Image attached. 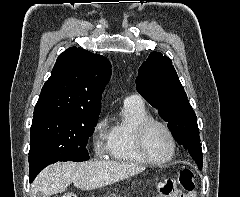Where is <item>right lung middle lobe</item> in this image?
Listing matches in <instances>:
<instances>
[{"mask_svg": "<svg viewBox=\"0 0 240 197\" xmlns=\"http://www.w3.org/2000/svg\"><path fill=\"white\" fill-rule=\"evenodd\" d=\"M99 115L46 112L34 114L30 131V181L57 161H86V145Z\"/></svg>", "mask_w": 240, "mask_h": 197, "instance_id": "1", "label": "right lung middle lobe"}]
</instances>
